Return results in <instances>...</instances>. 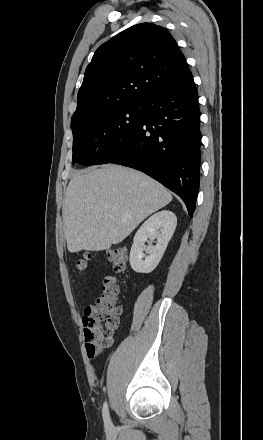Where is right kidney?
<instances>
[{"label":"right kidney","mask_w":263,"mask_h":440,"mask_svg":"<svg viewBox=\"0 0 263 440\" xmlns=\"http://www.w3.org/2000/svg\"><path fill=\"white\" fill-rule=\"evenodd\" d=\"M177 225L176 215L167 210L160 211L149 217L134 236L130 251V265L137 273H150L159 264ZM150 239H157L156 245L145 246ZM143 251L149 256L144 258Z\"/></svg>","instance_id":"ca27d5eb"}]
</instances>
